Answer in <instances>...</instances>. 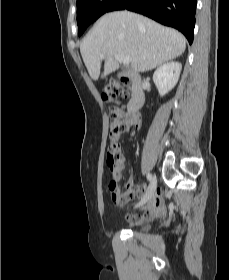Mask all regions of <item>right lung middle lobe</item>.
<instances>
[{
	"mask_svg": "<svg viewBox=\"0 0 229 280\" xmlns=\"http://www.w3.org/2000/svg\"><path fill=\"white\" fill-rule=\"evenodd\" d=\"M117 0H77L78 35L97 20L101 15L109 12Z\"/></svg>",
	"mask_w": 229,
	"mask_h": 280,
	"instance_id": "1",
	"label": "right lung middle lobe"
}]
</instances>
